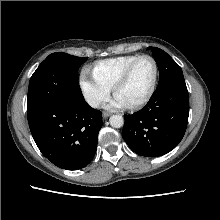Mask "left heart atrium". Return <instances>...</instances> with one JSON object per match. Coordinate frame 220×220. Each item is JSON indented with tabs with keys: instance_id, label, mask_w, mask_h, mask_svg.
Here are the masks:
<instances>
[{
	"instance_id": "39dd6f15",
	"label": "left heart atrium",
	"mask_w": 220,
	"mask_h": 220,
	"mask_svg": "<svg viewBox=\"0 0 220 220\" xmlns=\"http://www.w3.org/2000/svg\"><path fill=\"white\" fill-rule=\"evenodd\" d=\"M128 105L120 99L118 96L115 95V97L110 101L108 104V108H124L127 107Z\"/></svg>"
}]
</instances>
